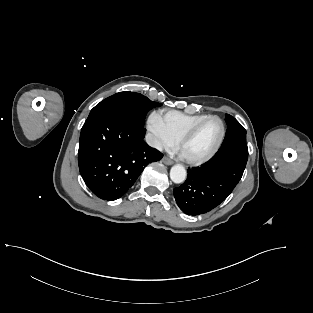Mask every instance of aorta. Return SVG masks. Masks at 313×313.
Here are the masks:
<instances>
[{"mask_svg":"<svg viewBox=\"0 0 313 313\" xmlns=\"http://www.w3.org/2000/svg\"><path fill=\"white\" fill-rule=\"evenodd\" d=\"M186 176H187L186 170L180 164L174 165L170 170V178L176 184L184 182Z\"/></svg>","mask_w":313,"mask_h":313,"instance_id":"762f6f07","label":"aorta"}]
</instances>
